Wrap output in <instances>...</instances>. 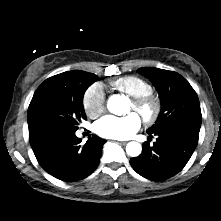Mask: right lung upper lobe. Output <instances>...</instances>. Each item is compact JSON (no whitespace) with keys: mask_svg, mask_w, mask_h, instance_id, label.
Masks as SVG:
<instances>
[{"mask_svg":"<svg viewBox=\"0 0 221 221\" xmlns=\"http://www.w3.org/2000/svg\"><path fill=\"white\" fill-rule=\"evenodd\" d=\"M38 136H30L29 135V141L32 143Z\"/></svg>","mask_w":221,"mask_h":221,"instance_id":"cb5924a9","label":"right lung upper lobe"}]
</instances>
